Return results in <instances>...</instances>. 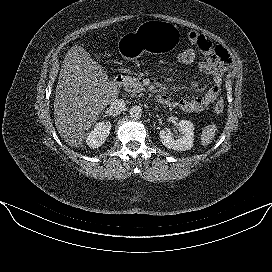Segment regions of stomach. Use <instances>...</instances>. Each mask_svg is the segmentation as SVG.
I'll list each match as a JSON object with an SVG mask.
<instances>
[{"label":"stomach","instance_id":"stomach-1","mask_svg":"<svg viewBox=\"0 0 272 272\" xmlns=\"http://www.w3.org/2000/svg\"><path fill=\"white\" fill-rule=\"evenodd\" d=\"M180 39L176 25L151 20L141 23L136 31L122 36L118 42V49L124 59L135 60L144 53L152 54L175 49Z\"/></svg>","mask_w":272,"mask_h":272}]
</instances>
